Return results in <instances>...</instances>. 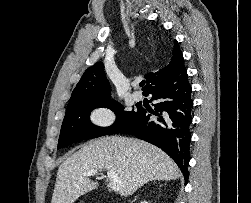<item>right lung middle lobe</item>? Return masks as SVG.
Listing matches in <instances>:
<instances>
[{
	"label": "right lung middle lobe",
	"instance_id": "dd1d6c3e",
	"mask_svg": "<svg viewBox=\"0 0 251 203\" xmlns=\"http://www.w3.org/2000/svg\"><path fill=\"white\" fill-rule=\"evenodd\" d=\"M98 107H106L116 114V121L109 127H98L91 123L90 112ZM139 110V109H138ZM138 111H125L124 107L112 99H99L69 104L61 127L58 148L66 147L84 139L116 134Z\"/></svg>",
	"mask_w": 251,
	"mask_h": 203
}]
</instances>
